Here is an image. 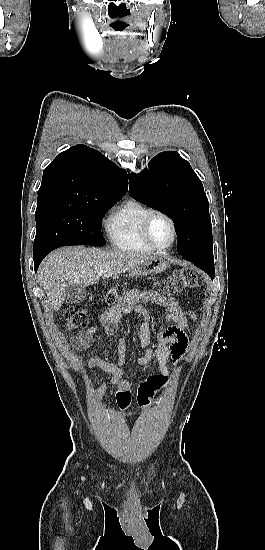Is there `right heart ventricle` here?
I'll return each instance as SVG.
<instances>
[{
	"instance_id": "right-heart-ventricle-1",
	"label": "right heart ventricle",
	"mask_w": 265,
	"mask_h": 550,
	"mask_svg": "<svg viewBox=\"0 0 265 550\" xmlns=\"http://www.w3.org/2000/svg\"><path fill=\"white\" fill-rule=\"evenodd\" d=\"M151 210L144 203L130 199L113 211L106 221L107 235L113 247L125 252H152L141 232L142 221Z\"/></svg>"
}]
</instances>
